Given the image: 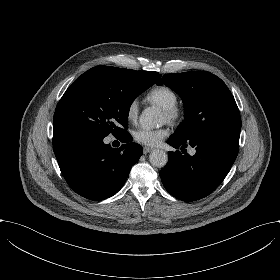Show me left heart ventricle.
Returning <instances> with one entry per match:
<instances>
[{
  "label": "left heart ventricle",
  "instance_id": "1",
  "mask_svg": "<svg viewBox=\"0 0 280 280\" xmlns=\"http://www.w3.org/2000/svg\"><path fill=\"white\" fill-rule=\"evenodd\" d=\"M163 117H164V120H166V115H165V113L163 112Z\"/></svg>",
  "mask_w": 280,
  "mask_h": 280
}]
</instances>
